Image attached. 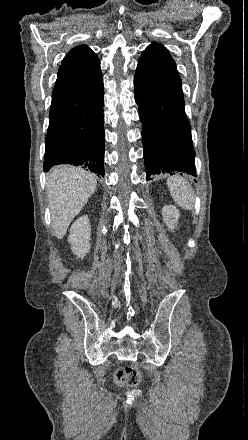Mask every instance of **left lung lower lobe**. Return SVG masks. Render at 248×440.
I'll return each instance as SVG.
<instances>
[{
  "mask_svg": "<svg viewBox=\"0 0 248 440\" xmlns=\"http://www.w3.org/2000/svg\"><path fill=\"white\" fill-rule=\"evenodd\" d=\"M135 100L142 122L147 180L150 175L179 171L196 177L195 151L184 99L153 86L135 74Z\"/></svg>",
  "mask_w": 248,
  "mask_h": 440,
  "instance_id": "0a47b994",
  "label": "left lung lower lobe"
}]
</instances>
